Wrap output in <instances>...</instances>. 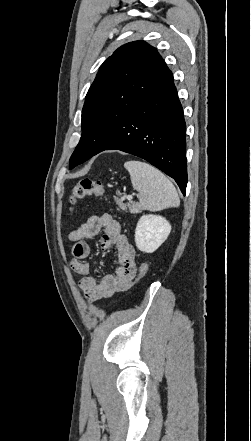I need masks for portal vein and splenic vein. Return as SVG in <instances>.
Segmentation results:
<instances>
[{"mask_svg": "<svg viewBox=\"0 0 251 441\" xmlns=\"http://www.w3.org/2000/svg\"><path fill=\"white\" fill-rule=\"evenodd\" d=\"M127 199H128V200H131V199H132V195H128V196H127Z\"/></svg>", "mask_w": 251, "mask_h": 441, "instance_id": "1", "label": "portal vein and splenic vein"}]
</instances>
